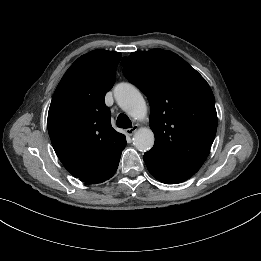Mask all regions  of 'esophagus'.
I'll return each instance as SVG.
<instances>
[{"instance_id":"1","label":"esophagus","mask_w":261,"mask_h":261,"mask_svg":"<svg viewBox=\"0 0 261 261\" xmlns=\"http://www.w3.org/2000/svg\"><path fill=\"white\" fill-rule=\"evenodd\" d=\"M138 128L139 126L136 124L133 127L126 129V133L131 136L138 130Z\"/></svg>"}]
</instances>
